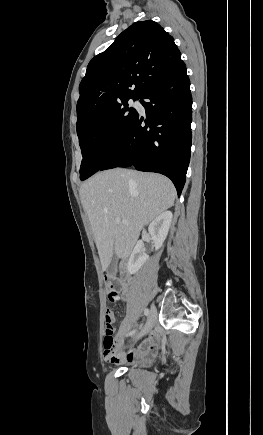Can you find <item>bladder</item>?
Masks as SVG:
<instances>
[{
  "mask_svg": "<svg viewBox=\"0 0 263 435\" xmlns=\"http://www.w3.org/2000/svg\"><path fill=\"white\" fill-rule=\"evenodd\" d=\"M133 366H137V367H139V366H141V364H140V363H137V364H134Z\"/></svg>",
  "mask_w": 263,
  "mask_h": 435,
  "instance_id": "bladder-1",
  "label": "bladder"
}]
</instances>
